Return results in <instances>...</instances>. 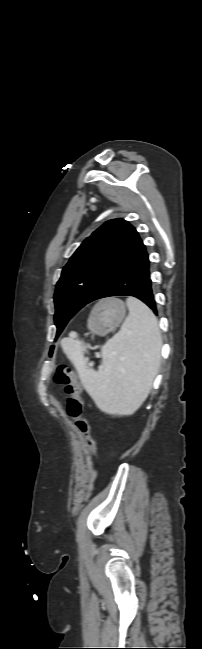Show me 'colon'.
I'll return each mask as SVG.
<instances>
[{
  "mask_svg": "<svg viewBox=\"0 0 202 649\" xmlns=\"http://www.w3.org/2000/svg\"><path fill=\"white\" fill-rule=\"evenodd\" d=\"M56 383L64 386L67 394V413L73 419L75 429L83 437L86 448L95 459V441L91 435L89 420L83 416L84 401L82 398V387L77 379L74 370L66 365L60 364L54 374Z\"/></svg>",
  "mask_w": 202,
  "mask_h": 649,
  "instance_id": "colon-1",
  "label": "colon"
}]
</instances>
